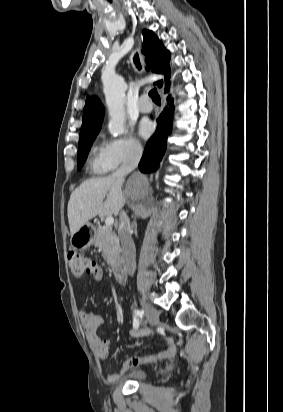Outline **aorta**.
Returning <instances> with one entry per match:
<instances>
[{
  "instance_id": "aorta-1",
  "label": "aorta",
  "mask_w": 283,
  "mask_h": 412,
  "mask_svg": "<svg viewBox=\"0 0 283 412\" xmlns=\"http://www.w3.org/2000/svg\"><path fill=\"white\" fill-rule=\"evenodd\" d=\"M126 85L124 80L119 76H114L106 79L104 85V93L106 105L110 117L108 129L109 132L118 136L125 131V110L124 97ZM146 189V179L142 175L134 177L128 186V191L133 196H139Z\"/></svg>"
}]
</instances>
